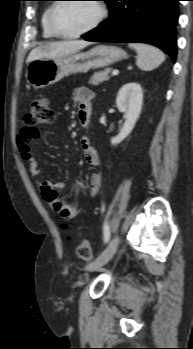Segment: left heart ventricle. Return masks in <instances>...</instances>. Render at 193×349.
<instances>
[{"instance_id": "b2bd125f", "label": "left heart ventricle", "mask_w": 193, "mask_h": 349, "mask_svg": "<svg viewBox=\"0 0 193 349\" xmlns=\"http://www.w3.org/2000/svg\"><path fill=\"white\" fill-rule=\"evenodd\" d=\"M98 15L94 2L63 3L55 12L54 22L60 32L72 34L90 26Z\"/></svg>"}]
</instances>
